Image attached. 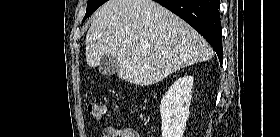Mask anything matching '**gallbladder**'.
Returning <instances> with one entry per match:
<instances>
[{"mask_svg":"<svg viewBox=\"0 0 280 137\" xmlns=\"http://www.w3.org/2000/svg\"><path fill=\"white\" fill-rule=\"evenodd\" d=\"M119 65L116 57L105 54L98 65V69L102 75L112 76L117 73Z\"/></svg>","mask_w":280,"mask_h":137,"instance_id":"obj_1","label":"gallbladder"}]
</instances>
